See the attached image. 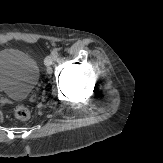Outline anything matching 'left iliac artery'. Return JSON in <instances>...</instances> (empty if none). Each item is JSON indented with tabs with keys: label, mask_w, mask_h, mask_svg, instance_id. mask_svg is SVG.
I'll return each mask as SVG.
<instances>
[{
	"label": "left iliac artery",
	"mask_w": 163,
	"mask_h": 163,
	"mask_svg": "<svg viewBox=\"0 0 163 163\" xmlns=\"http://www.w3.org/2000/svg\"><path fill=\"white\" fill-rule=\"evenodd\" d=\"M52 54H54L55 57H57V55H58V49L57 48L53 49Z\"/></svg>",
	"instance_id": "obj_1"
}]
</instances>
